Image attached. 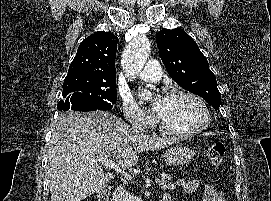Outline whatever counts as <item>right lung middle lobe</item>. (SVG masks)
I'll return each mask as SVG.
<instances>
[{"mask_svg": "<svg viewBox=\"0 0 271 201\" xmlns=\"http://www.w3.org/2000/svg\"><path fill=\"white\" fill-rule=\"evenodd\" d=\"M115 85L116 74L72 72L64 80L62 96L64 99L114 104L117 100Z\"/></svg>", "mask_w": 271, "mask_h": 201, "instance_id": "dd1d6c3e", "label": "right lung middle lobe"}]
</instances>
